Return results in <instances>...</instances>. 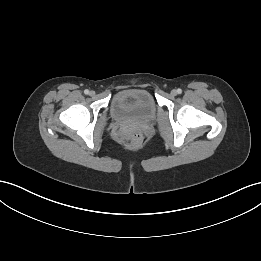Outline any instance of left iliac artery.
<instances>
[{
    "mask_svg": "<svg viewBox=\"0 0 261 261\" xmlns=\"http://www.w3.org/2000/svg\"><path fill=\"white\" fill-rule=\"evenodd\" d=\"M177 93H178V94H181V93H182V90H181V89H177Z\"/></svg>",
    "mask_w": 261,
    "mask_h": 261,
    "instance_id": "1",
    "label": "left iliac artery"
}]
</instances>
